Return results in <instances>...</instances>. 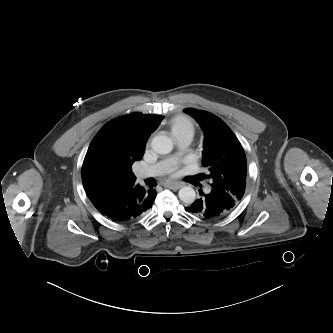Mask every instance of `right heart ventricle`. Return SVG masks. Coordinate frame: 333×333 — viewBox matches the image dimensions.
<instances>
[{"mask_svg": "<svg viewBox=\"0 0 333 333\" xmlns=\"http://www.w3.org/2000/svg\"><path fill=\"white\" fill-rule=\"evenodd\" d=\"M169 129L171 134L176 138L186 133L193 134L194 125L187 116L178 115L169 122Z\"/></svg>", "mask_w": 333, "mask_h": 333, "instance_id": "right-heart-ventricle-1", "label": "right heart ventricle"}]
</instances>
